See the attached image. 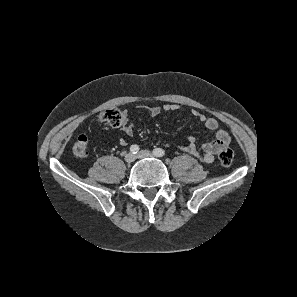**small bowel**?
<instances>
[{"instance_id":"small-bowel-1","label":"small bowel","mask_w":297,"mask_h":297,"mask_svg":"<svg viewBox=\"0 0 297 297\" xmlns=\"http://www.w3.org/2000/svg\"><path fill=\"white\" fill-rule=\"evenodd\" d=\"M178 106L175 104H167L163 108L160 107H151L149 109V114L151 116H157L161 113L162 110L167 112L176 111ZM192 116L202 122L205 127L211 131H216L215 137L206 142L203 147L202 151H199L196 147L195 140L193 137L188 138V143L186 145L180 146V149L196 158H198L203 163L209 164L214 161L215 156L227 147L230 143V137L228 133L222 129H219L218 121L214 117L206 116L204 113L198 110L191 111ZM123 133L131 137L134 134V125L130 121L126 120L122 124L120 128ZM119 144L122 146L127 145V140L125 138L119 139Z\"/></svg>"}]
</instances>
